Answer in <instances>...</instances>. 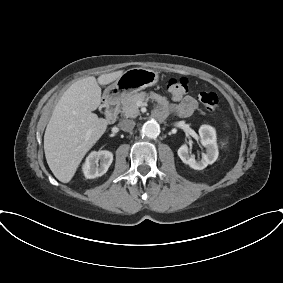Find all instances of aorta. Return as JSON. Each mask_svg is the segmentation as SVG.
Wrapping results in <instances>:
<instances>
[{"label": "aorta", "mask_w": 283, "mask_h": 283, "mask_svg": "<svg viewBox=\"0 0 283 283\" xmlns=\"http://www.w3.org/2000/svg\"><path fill=\"white\" fill-rule=\"evenodd\" d=\"M142 134L151 139L157 138L160 134L159 124L154 120L147 121L142 126Z\"/></svg>", "instance_id": "obj_1"}]
</instances>
